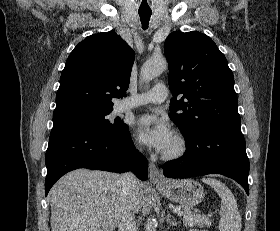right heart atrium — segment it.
Instances as JSON below:
<instances>
[{
    "label": "right heart atrium",
    "instance_id": "right-heart-atrium-1",
    "mask_svg": "<svg viewBox=\"0 0 280 231\" xmlns=\"http://www.w3.org/2000/svg\"><path fill=\"white\" fill-rule=\"evenodd\" d=\"M134 147H135L136 149H141V147H142L141 142H139V141L135 142Z\"/></svg>",
    "mask_w": 280,
    "mask_h": 231
}]
</instances>
